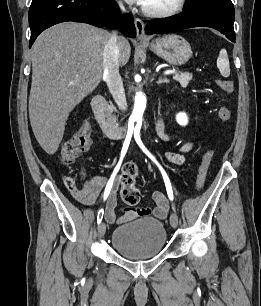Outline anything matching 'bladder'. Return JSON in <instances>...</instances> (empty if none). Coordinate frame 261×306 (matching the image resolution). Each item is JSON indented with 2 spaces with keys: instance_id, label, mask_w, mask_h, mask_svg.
<instances>
[{
  "instance_id": "1",
  "label": "bladder",
  "mask_w": 261,
  "mask_h": 306,
  "mask_svg": "<svg viewBox=\"0 0 261 306\" xmlns=\"http://www.w3.org/2000/svg\"><path fill=\"white\" fill-rule=\"evenodd\" d=\"M167 240L163 222L143 217L116 227L111 236L112 248L130 260L149 259L160 254Z\"/></svg>"
}]
</instances>
